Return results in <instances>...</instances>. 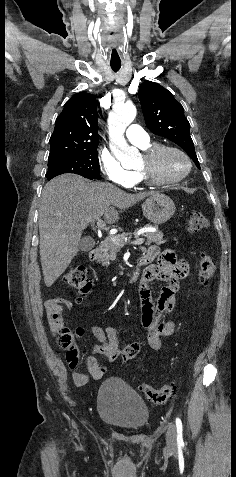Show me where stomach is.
Listing matches in <instances>:
<instances>
[{
  "label": "stomach",
  "instance_id": "obj_1",
  "mask_svg": "<svg viewBox=\"0 0 236 477\" xmlns=\"http://www.w3.org/2000/svg\"><path fill=\"white\" fill-rule=\"evenodd\" d=\"M175 209L173 200L162 193L150 196L142 205L143 215L155 225L167 222Z\"/></svg>",
  "mask_w": 236,
  "mask_h": 477
}]
</instances>
